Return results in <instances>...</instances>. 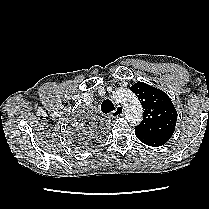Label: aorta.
Masks as SVG:
<instances>
[{
    "label": "aorta",
    "mask_w": 209,
    "mask_h": 209,
    "mask_svg": "<svg viewBox=\"0 0 209 209\" xmlns=\"http://www.w3.org/2000/svg\"><path fill=\"white\" fill-rule=\"evenodd\" d=\"M113 99L124 106L128 122L132 125H136L142 121L143 108L132 91L123 88L117 89L113 92Z\"/></svg>",
    "instance_id": "aorta-1"
}]
</instances>
